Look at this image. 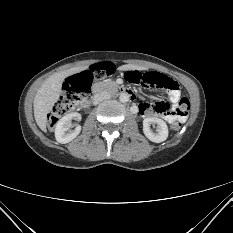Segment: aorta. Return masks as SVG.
I'll list each match as a JSON object with an SVG mask.
<instances>
[{"label":"aorta","instance_id":"obj_1","mask_svg":"<svg viewBox=\"0 0 233 233\" xmlns=\"http://www.w3.org/2000/svg\"><path fill=\"white\" fill-rule=\"evenodd\" d=\"M130 99V95L128 93H121L120 96H119V100L122 102V103H126L128 102Z\"/></svg>","mask_w":233,"mask_h":233}]
</instances>
